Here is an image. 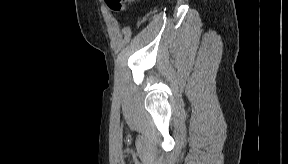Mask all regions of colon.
<instances>
[{
    "label": "colon",
    "instance_id": "1",
    "mask_svg": "<svg viewBox=\"0 0 288 164\" xmlns=\"http://www.w3.org/2000/svg\"><path fill=\"white\" fill-rule=\"evenodd\" d=\"M108 6L111 7L115 11H124L126 3L125 0H108Z\"/></svg>",
    "mask_w": 288,
    "mask_h": 164
}]
</instances>
